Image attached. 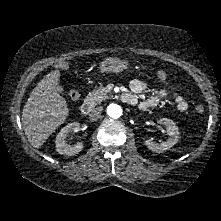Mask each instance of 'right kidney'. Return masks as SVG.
<instances>
[{
  "mask_svg": "<svg viewBox=\"0 0 221 221\" xmlns=\"http://www.w3.org/2000/svg\"><path fill=\"white\" fill-rule=\"evenodd\" d=\"M79 130L80 124L78 122L69 123L61 129L55 140L56 151L59 152V154L73 156L83 150L84 145L82 142H77L74 145H70L65 141V138L69 132H78Z\"/></svg>",
  "mask_w": 221,
  "mask_h": 221,
  "instance_id": "ca27d5eb",
  "label": "right kidney"
}]
</instances>
